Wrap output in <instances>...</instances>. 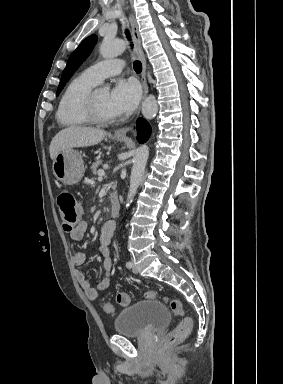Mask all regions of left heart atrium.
Returning a JSON list of instances; mask_svg holds the SVG:
<instances>
[{
	"mask_svg": "<svg viewBox=\"0 0 283 384\" xmlns=\"http://www.w3.org/2000/svg\"><path fill=\"white\" fill-rule=\"evenodd\" d=\"M140 97V89L132 80H119L108 95L110 111L115 116L131 113Z\"/></svg>",
	"mask_w": 283,
	"mask_h": 384,
	"instance_id": "obj_1",
	"label": "left heart atrium"
}]
</instances>
